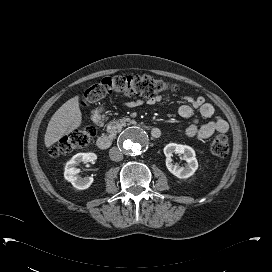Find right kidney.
<instances>
[{"label":"right kidney","instance_id":"right-kidney-1","mask_svg":"<svg viewBox=\"0 0 272 272\" xmlns=\"http://www.w3.org/2000/svg\"><path fill=\"white\" fill-rule=\"evenodd\" d=\"M96 159L97 156L94 153H78L74 155L65 165V179L79 190L89 188L94 181L93 177H79L77 174L80 170L76 166L81 162H95Z\"/></svg>","mask_w":272,"mask_h":272}]
</instances>
